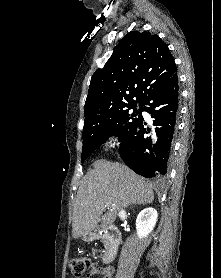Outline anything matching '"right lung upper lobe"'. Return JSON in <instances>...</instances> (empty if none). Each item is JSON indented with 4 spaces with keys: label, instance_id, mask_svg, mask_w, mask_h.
<instances>
[{
    "label": "right lung upper lobe",
    "instance_id": "obj_1",
    "mask_svg": "<svg viewBox=\"0 0 221 278\" xmlns=\"http://www.w3.org/2000/svg\"><path fill=\"white\" fill-rule=\"evenodd\" d=\"M176 71L174 58L158 35L129 32L106 65L91 78L84 107L85 122L142 103L151 90Z\"/></svg>",
    "mask_w": 221,
    "mask_h": 278
}]
</instances>
